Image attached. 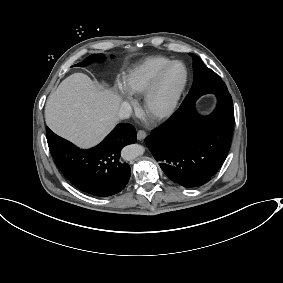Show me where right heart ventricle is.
Segmentation results:
<instances>
[{
	"mask_svg": "<svg viewBox=\"0 0 283 283\" xmlns=\"http://www.w3.org/2000/svg\"><path fill=\"white\" fill-rule=\"evenodd\" d=\"M172 61L165 56H152L122 74V87L130 98L144 95L154 75Z\"/></svg>",
	"mask_w": 283,
	"mask_h": 283,
	"instance_id": "e07e8e85",
	"label": "right heart ventricle"
}]
</instances>
